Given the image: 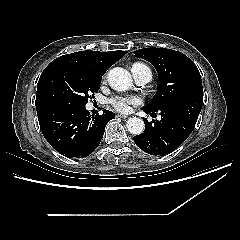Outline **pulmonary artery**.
Segmentation results:
<instances>
[{"mask_svg":"<svg viewBox=\"0 0 240 240\" xmlns=\"http://www.w3.org/2000/svg\"><path fill=\"white\" fill-rule=\"evenodd\" d=\"M131 72L136 82L140 85H144L152 79L151 72L146 66L134 65L132 66Z\"/></svg>","mask_w":240,"mask_h":240,"instance_id":"e3ab8cb5","label":"pulmonary artery"}]
</instances>
